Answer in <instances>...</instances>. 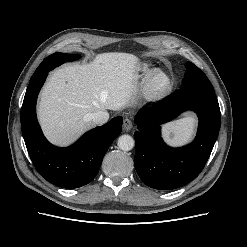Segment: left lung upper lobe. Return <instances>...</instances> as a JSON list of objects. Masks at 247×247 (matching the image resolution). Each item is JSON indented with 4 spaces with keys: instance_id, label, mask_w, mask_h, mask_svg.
I'll return each mask as SVG.
<instances>
[{
    "instance_id": "1",
    "label": "left lung upper lobe",
    "mask_w": 247,
    "mask_h": 247,
    "mask_svg": "<svg viewBox=\"0 0 247 247\" xmlns=\"http://www.w3.org/2000/svg\"><path fill=\"white\" fill-rule=\"evenodd\" d=\"M186 72L182 83L187 84H202L205 86H212L206 75L193 63L187 62L185 64Z\"/></svg>"
}]
</instances>
